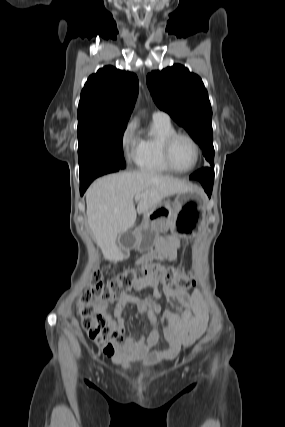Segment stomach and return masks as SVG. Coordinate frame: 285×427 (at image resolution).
<instances>
[{
	"instance_id": "obj_1",
	"label": "stomach",
	"mask_w": 285,
	"mask_h": 427,
	"mask_svg": "<svg viewBox=\"0 0 285 427\" xmlns=\"http://www.w3.org/2000/svg\"><path fill=\"white\" fill-rule=\"evenodd\" d=\"M206 205V197L196 188L178 193L173 202L160 203L144 213L141 226L132 232L130 246L147 250L160 232L168 230L179 237L195 236L205 224Z\"/></svg>"
}]
</instances>
